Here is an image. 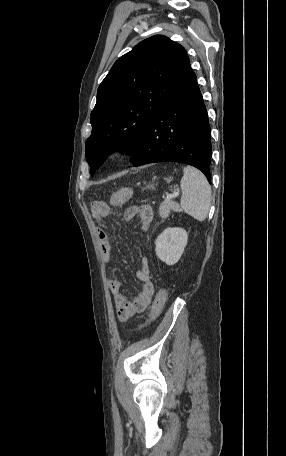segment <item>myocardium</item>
I'll use <instances>...</instances> for the list:
<instances>
[{
  "instance_id": "myocardium-1",
  "label": "myocardium",
  "mask_w": 286,
  "mask_h": 456,
  "mask_svg": "<svg viewBox=\"0 0 286 456\" xmlns=\"http://www.w3.org/2000/svg\"><path fill=\"white\" fill-rule=\"evenodd\" d=\"M128 149V143L125 141H116L109 147V158L118 161L125 157Z\"/></svg>"
}]
</instances>
